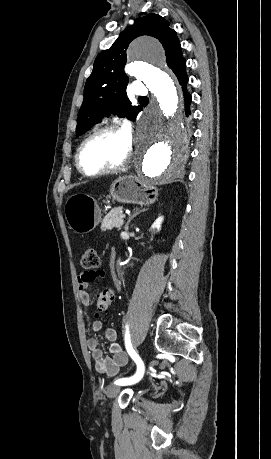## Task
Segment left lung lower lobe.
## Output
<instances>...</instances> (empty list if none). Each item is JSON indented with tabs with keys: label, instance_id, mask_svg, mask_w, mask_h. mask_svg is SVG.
<instances>
[{
	"label": "left lung lower lobe",
	"instance_id": "1",
	"mask_svg": "<svg viewBox=\"0 0 271 459\" xmlns=\"http://www.w3.org/2000/svg\"><path fill=\"white\" fill-rule=\"evenodd\" d=\"M172 71L177 76L180 85H182V89L184 92L185 98V110L186 114H190L189 104L191 103V95L187 92L186 84L188 83V77L186 74V60L182 59L173 69Z\"/></svg>",
	"mask_w": 271,
	"mask_h": 459
}]
</instances>
